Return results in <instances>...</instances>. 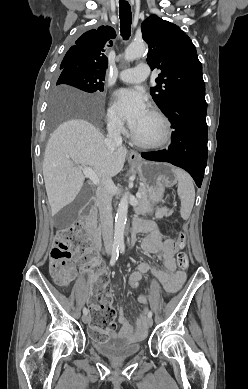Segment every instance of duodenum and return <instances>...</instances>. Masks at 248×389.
I'll list each match as a JSON object with an SVG mask.
<instances>
[{
  "label": "duodenum",
  "instance_id": "410a0bca",
  "mask_svg": "<svg viewBox=\"0 0 248 389\" xmlns=\"http://www.w3.org/2000/svg\"><path fill=\"white\" fill-rule=\"evenodd\" d=\"M96 218H97V207L94 204H91L87 212H83L80 217V224L85 229L88 238L91 242L92 247L99 251L100 250V240L99 235L96 229ZM137 232V229L134 228L131 235L130 242L133 241L134 235Z\"/></svg>",
  "mask_w": 248,
  "mask_h": 389
}]
</instances>
